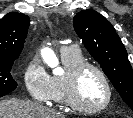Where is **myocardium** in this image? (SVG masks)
Here are the masks:
<instances>
[{
	"label": "myocardium",
	"mask_w": 133,
	"mask_h": 118,
	"mask_svg": "<svg viewBox=\"0 0 133 118\" xmlns=\"http://www.w3.org/2000/svg\"><path fill=\"white\" fill-rule=\"evenodd\" d=\"M92 69L99 74L103 83L106 87L107 96L103 104L97 107H87L81 103L78 97V85L82 74L88 70ZM113 98V88L109 77L104 72V70L98 65L90 62H82L73 69H71L65 79V99L67 104L74 110L87 113V114H97L106 110L112 102Z\"/></svg>",
	"instance_id": "1"
}]
</instances>
